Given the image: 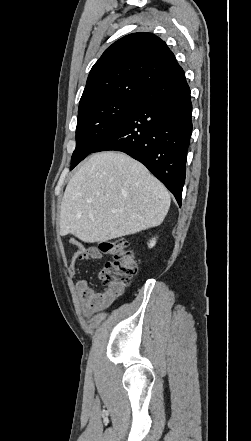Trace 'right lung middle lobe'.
Masks as SVG:
<instances>
[{
  "instance_id": "1",
  "label": "right lung middle lobe",
  "mask_w": 251,
  "mask_h": 441,
  "mask_svg": "<svg viewBox=\"0 0 251 441\" xmlns=\"http://www.w3.org/2000/svg\"><path fill=\"white\" fill-rule=\"evenodd\" d=\"M142 95L105 98L78 110L76 149L71 159L72 170L119 125L140 101Z\"/></svg>"
}]
</instances>
